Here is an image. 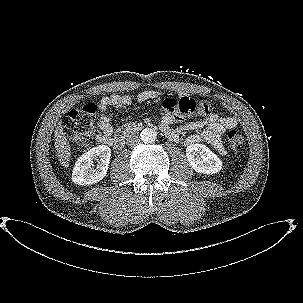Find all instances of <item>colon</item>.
<instances>
[{
  "mask_svg": "<svg viewBox=\"0 0 303 303\" xmlns=\"http://www.w3.org/2000/svg\"><path fill=\"white\" fill-rule=\"evenodd\" d=\"M202 102L198 103L193 98L183 96L179 99L167 98L164 100V108L177 118L184 119L194 115H200ZM98 108L93 103L85 104L82 109L70 110L63 120V127L69 139L78 148L86 149L90 145L93 134L94 121ZM230 148L239 152L244 145V136L238 130H230L227 134Z\"/></svg>",
  "mask_w": 303,
  "mask_h": 303,
  "instance_id": "obj_1",
  "label": "colon"
}]
</instances>
